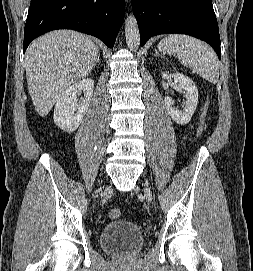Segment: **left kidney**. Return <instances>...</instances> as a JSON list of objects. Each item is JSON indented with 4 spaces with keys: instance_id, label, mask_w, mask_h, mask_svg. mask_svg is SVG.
Listing matches in <instances>:
<instances>
[{
    "instance_id": "5707ae66",
    "label": "left kidney",
    "mask_w": 253,
    "mask_h": 271,
    "mask_svg": "<svg viewBox=\"0 0 253 271\" xmlns=\"http://www.w3.org/2000/svg\"><path fill=\"white\" fill-rule=\"evenodd\" d=\"M163 79L173 78L175 83L178 84L180 89L184 90L186 102L183 109L179 110L173 106V99L170 96L164 98L165 107L170 114L172 120L180 125H186L190 122L197 104H198V89L195 83L186 75L181 73L168 74L167 72L162 73Z\"/></svg>"
}]
</instances>
